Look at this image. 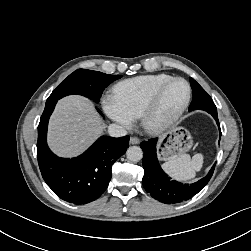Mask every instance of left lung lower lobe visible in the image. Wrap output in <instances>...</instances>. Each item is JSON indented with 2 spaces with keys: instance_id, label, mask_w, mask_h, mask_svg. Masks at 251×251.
<instances>
[{
  "instance_id": "1",
  "label": "left lung lower lobe",
  "mask_w": 251,
  "mask_h": 251,
  "mask_svg": "<svg viewBox=\"0 0 251 251\" xmlns=\"http://www.w3.org/2000/svg\"><path fill=\"white\" fill-rule=\"evenodd\" d=\"M199 109L204 110V107L201 106ZM208 113L213 116L220 129L217 112ZM156 144L157 138L143 141L140 144V147L144 151L143 187L153 198L165 204L180 203L192 198L209 182L213 175L215 165L212 166L209 173L204 178L193 184H183L170 179L159 165L156 154Z\"/></svg>"
}]
</instances>
